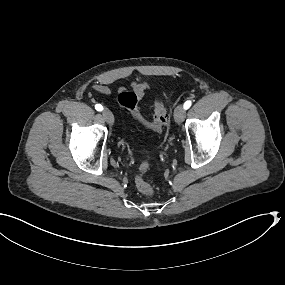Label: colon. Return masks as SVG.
<instances>
[{
  "label": "colon",
  "mask_w": 285,
  "mask_h": 285,
  "mask_svg": "<svg viewBox=\"0 0 285 285\" xmlns=\"http://www.w3.org/2000/svg\"><path fill=\"white\" fill-rule=\"evenodd\" d=\"M118 103L121 108L131 113L133 118L142 124L147 129L159 132L168 123V115L166 108L161 100H155L153 103V117L152 120H146L137 108L139 97L135 92L122 91L118 95ZM149 164L143 161L140 165L139 172L135 177V185L139 192L144 195L151 196L154 194V187L143 178V175L148 171Z\"/></svg>",
  "instance_id": "5ec220e1"
}]
</instances>
